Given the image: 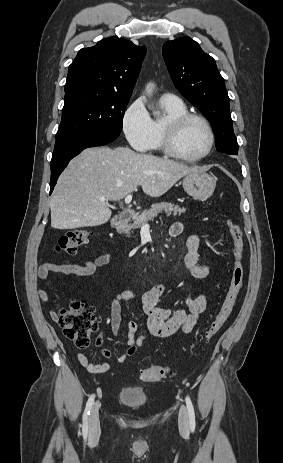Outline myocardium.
<instances>
[{"label": "myocardium", "mask_w": 283, "mask_h": 463, "mask_svg": "<svg viewBox=\"0 0 283 463\" xmlns=\"http://www.w3.org/2000/svg\"><path fill=\"white\" fill-rule=\"evenodd\" d=\"M190 120H199L204 124L209 135V144L207 150L196 157H188L180 153L177 149L176 141L182 127ZM215 145V133L209 120L201 114L186 112L184 114L167 119L162 129V148L170 157L186 162L195 163L207 158L213 151Z\"/></svg>", "instance_id": "1"}]
</instances>
